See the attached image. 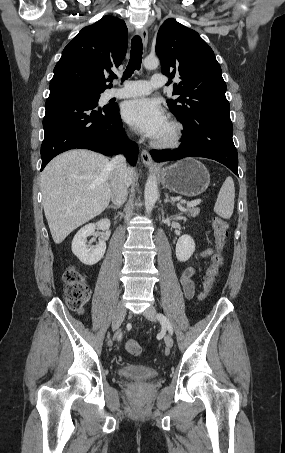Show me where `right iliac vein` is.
<instances>
[{"label":"right iliac vein","instance_id":"63e3f726","mask_svg":"<svg viewBox=\"0 0 285 453\" xmlns=\"http://www.w3.org/2000/svg\"><path fill=\"white\" fill-rule=\"evenodd\" d=\"M126 315V309L123 304H119L116 308L112 319V330L116 331L119 329Z\"/></svg>","mask_w":285,"mask_h":453}]
</instances>
